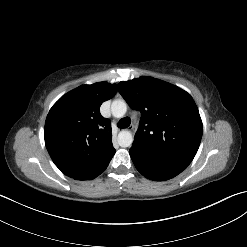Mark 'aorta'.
Segmentation results:
<instances>
[{"mask_svg": "<svg viewBox=\"0 0 247 247\" xmlns=\"http://www.w3.org/2000/svg\"><path fill=\"white\" fill-rule=\"evenodd\" d=\"M127 111V104L124 100L117 99L111 104V112L115 118H122ZM117 141L121 147H130L133 143V136L131 132L122 130L119 132Z\"/></svg>", "mask_w": 247, "mask_h": 247, "instance_id": "762f6f07", "label": "aorta"}]
</instances>
